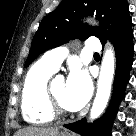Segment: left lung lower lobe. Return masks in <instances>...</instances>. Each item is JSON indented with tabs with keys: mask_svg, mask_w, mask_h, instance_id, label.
Returning <instances> with one entry per match:
<instances>
[{
	"mask_svg": "<svg viewBox=\"0 0 136 136\" xmlns=\"http://www.w3.org/2000/svg\"><path fill=\"white\" fill-rule=\"evenodd\" d=\"M114 45L116 52V74L114 79L113 94L105 115L94 123L86 124L85 119L64 127L87 136H110L111 126L117 114L118 106L125 95V88L129 81V73L133 63L134 46L132 20L128 15L108 37ZM105 44V41L102 42Z\"/></svg>",
	"mask_w": 136,
	"mask_h": 136,
	"instance_id": "1",
	"label": "left lung lower lobe"
}]
</instances>
